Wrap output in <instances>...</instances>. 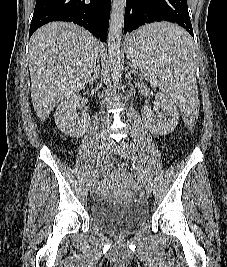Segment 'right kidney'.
<instances>
[{
    "label": "right kidney",
    "instance_id": "obj_1",
    "mask_svg": "<svg viewBox=\"0 0 227 267\" xmlns=\"http://www.w3.org/2000/svg\"><path fill=\"white\" fill-rule=\"evenodd\" d=\"M82 97L73 93L63 99L55 112V123L57 127L67 136L78 138L85 134L90 116L83 113L79 116L77 108Z\"/></svg>",
    "mask_w": 227,
    "mask_h": 267
}]
</instances>
